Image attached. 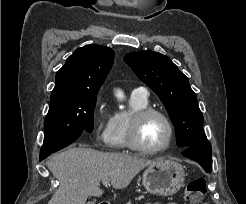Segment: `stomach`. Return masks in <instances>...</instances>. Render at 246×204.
I'll return each instance as SVG.
<instances>
[{
  "mask_svg": "<svg viewBox=\"0 0 246 204\" xmlns=\"http://www.w3.org/2000/svg\"><path fill=\"white\" fill-rule=\"evenodd\" d=\"M184 178V167L180 163L172 160H158L144 171L142 184L148 193L170 196L179 191Z\"/></svg>",
  "mask_w": 246,
  "mask_h": 204,
  "instance_id": "1",
  "label": "stomach"
}]
</instances>
